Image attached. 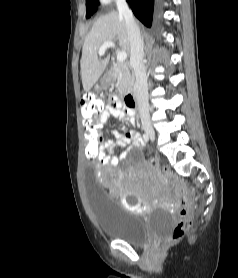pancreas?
Masks as SVG:
<instances>
[{
  "label": "pancreas",
  "instance_id": "1",
  "mask_svg": "<svg viewBox=\"0 0 238 278\" xmlns=\"http://www.w3.org/2000/svg\"><path fill=\"white\" fill-rule=\"evenodd\" d=\"M116 75V88L122 94H125L133 89L134 75L129 67L122 63H117L114 67Z\"/></svg>",
  "mask_w": 238,
  "mask_h": 278
}]
</instances>
